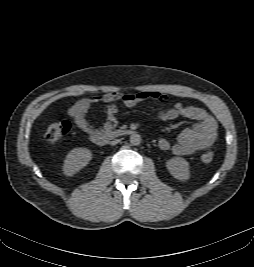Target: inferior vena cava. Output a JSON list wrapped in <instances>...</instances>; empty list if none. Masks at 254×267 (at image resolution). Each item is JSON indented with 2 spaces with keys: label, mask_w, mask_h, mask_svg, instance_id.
Returning <instances> with one entry per match:
<instances>
[{
  "label": "inferior vena cava",
  "mask_w": 254,
  "mask_h": 267,
  "mask_svg": "<svg viewBox=\"0 0 254 267\" xmlns=\"http://www.w3.org/2000/svg\"><path fill=\"white\" fill-rule=\"evenodd\" d=\"M118 142H119V140L118 139H115V140L111 141L110 144L111 145H116Z\"/></svg>",
  "instance_id": "inferior-vena-cava-1"
}]
</instances>
